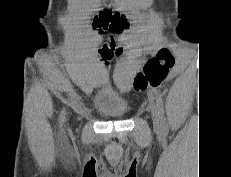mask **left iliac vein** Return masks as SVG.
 Wrapping results in <instances>:
<instances>
[{"mask_svg": "<svg viewBox=\"0 0 231 177\" xmlns=\"http://www.w3.org/2000/svg\"><path fill=\"white\" fill-rule=\"evenodd\" d=\"M150 110L152 114V119H153V125L155 129L159 130L161 127L160 123V115L158 113V110L153 102H150Z\"/></svg>", "mask_w": 231, "mask_h": 177, "instance_id": "1", "label": "left iliac vein"}]
</instances>
